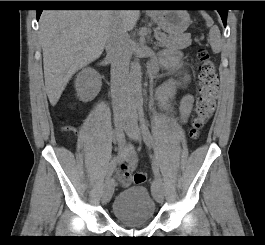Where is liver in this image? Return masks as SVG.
<instances>
[{"instance_id":"1","label":"liver","mask_w":265,"mask_h":245,"mask_svg":"<svg viewBox=\"0 0 265 245\" xmlns=\"http://www.w3.org/2000/svg\"><path fill=\"white\" fill-rule=\"evenodd\" d=\"M139 11L45 10L40 17L46 93L55 106L75 72L98 59L114 21L132 30Z\"/></svg>"}]
</instances>
